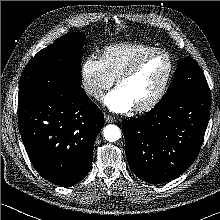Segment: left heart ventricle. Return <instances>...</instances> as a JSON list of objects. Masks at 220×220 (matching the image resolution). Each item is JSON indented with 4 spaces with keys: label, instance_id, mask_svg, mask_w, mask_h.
Wrapping results in <instances>:
<instances>
[{
    "label": "left heart ventricle",
    "instance_id": "b2bd125f",
    "mask_svg": "<svg viewBox=\"0 0 220 220\" xmlns=\"http://www.w3.org/2000/svg\"><path fill=\"white\" fill-rule=\"evenodd\" d=\"M169 69V61L165 55L157 54L149 57L140 70L132 77L122 81V88L132 99L134 106L151 99L162 86Z\"/></svg>",
    "mask_w": 220,
    "mask_h": 220
}]
</instances>
